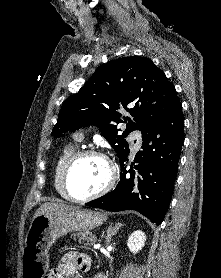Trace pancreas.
<instances>
[{
    "instance_id": "cf45deb5",
    "label": "pancreas",
    "mask_w": 221,
    "mask_h": 278,
    "mask_svg": "<svg viewBox=\"0 0 221 278\" xmlns=\"http://www.w3.org/2000/svg\"><path fill=\"white\" fill-rule=\"evenodd\" d=\"M74 240L78 238V242H86V245H93L97 241V237L91 232L73 234Z\"/></svg>"
}]
</instances>
